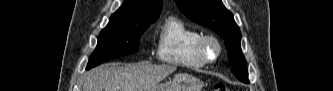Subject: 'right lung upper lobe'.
<instances>
[{"instance_id":"right-lung-upper-lobe-1","label":"right lung upper lobe","mask_w":333,"mask_h":91,"mask_svg":"<svg viewBox=\"0 0 333 91\" xmlns=\"http://www.w3.org/2000/svg\"><path fill=\"white\" fill-rule=\"evenodd\" d=\"M161 9L162 0H126L111 16L109 22L121 23L158 18Z\"/></svg>"}]
</instances>
